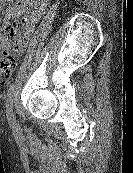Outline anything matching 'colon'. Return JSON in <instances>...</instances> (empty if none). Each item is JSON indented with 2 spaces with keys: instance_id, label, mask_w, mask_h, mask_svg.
Listing matches in <instances>:
<instances>
[{
  "instance_id": "colon-1",
  "label": "colon",
  "mask_w": 133,
  "mask_h": 173,
  "mask_svg": "<svg viewBox=\"0 0 133 173\" xmlns=\"http://www.w3.org/2000/svg\"><path fill=\"white\" fill-rule=\"evenodd\" d=\"M21 41L15 39L13 42V50L19 46ZM17 66V60L13 51L7 48L0 49V84H5L11 73L15 70Z\"/></svg>"
}]
</instances>
